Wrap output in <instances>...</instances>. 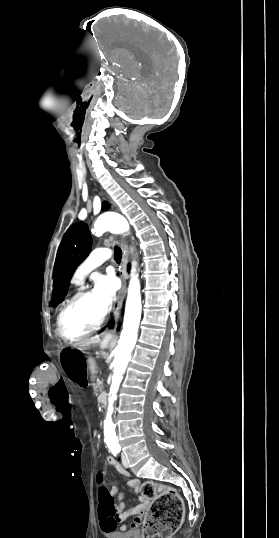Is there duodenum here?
I'll use <instances>...</instances> for the list:
<instances>
[{"mask_svg":"<svg viewBox=\"0 0 279 538\" xmlns=\"http://www.w3.org/2000/svg\"><path fill=\"white\" fill-rule=\"evenodd\" d=\"M99 369V366L97 364H94L92 366V373H94V376H97V370ZM92 381H95V378H92ZM105 397L103 395L98 396V401H100V406H107L110 405V402L104 401Z\"/></svg>","mask_w":279,"mask_h":538,"instance_id":"1","label":"duodenum"}]
</instances>
